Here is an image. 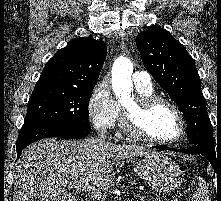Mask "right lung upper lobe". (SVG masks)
I'll use <instances>...</instances> for the list:
<instances>
[{
  "label": "right lung upper lobe",
  "instance_id": "1",
  "mask_svg": "<svg viewBox=\"0 0 221 201\" xmlns=\"http://www.w3.org/2000/svg\"><path fill=\"white\" fill-rule=\"evenodd\" d=\"M103 41L75 38L46 64L34 89L93 90L106 58Z\"/></svg>",
  "mask_w": 221,
  "mask_h": 201
}]
</instances>
